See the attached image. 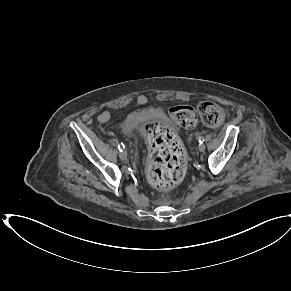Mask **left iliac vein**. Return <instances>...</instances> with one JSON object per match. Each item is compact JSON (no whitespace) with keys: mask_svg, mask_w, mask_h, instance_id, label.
Listing matches in <instances>:
<instances>
[{"mask_svg":"<svg viewBox=\"0 0 291 291\" xmlns=\"http://www.w3.org/2000/svg\"><path fill=\"white\" fill-rule=\"evenodd\" d=\"M205 148H206V146L203 143L199 144V146H198V149H199L200 152H204Z\"/></svg>","mask_w":291,"mask_h":291,"instance_id":"left-iliac-vein-1","label":"left iliac vein"}]
</instances>
